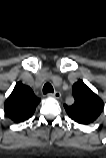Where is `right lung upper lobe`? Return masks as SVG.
<instances>
[{
    "mask_svg": "<svg viewBox=\"0 0 106 158\" xmlns=\"http://www.w3.org/2000/svg\"><path fill=\"white\" fill-rule=\"evenodd\" d=\"M40 99L32 89L18 82L4 104V111L8 118L15 123L28 120L34 113Z\"/></svg>",
    "mask_w": 106,
    "mask_h": 158,
    "instance_id": "right-lung-upper-lobe-1",
    "label": "right lung upper lobe"
}]
</instances>
